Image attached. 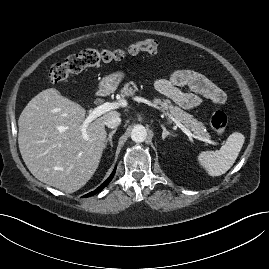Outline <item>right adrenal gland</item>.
<instances>
[{"label": "right adrenal gland", "mask_w": 269, "mask_h": 269, "mask_svg": "<svg viewBox=\"0 0 269 269\" xmlns=\"http://www.w3.org/2000/svg\"><path fill=\"white\" fill-rule=\"evenodd\" d=\"M117 129H114L113 131H111L108 135V138L106 139L105 141V148L107 146V144L109 143L110 144V147L112 148L113 147V143H112V137L113 135L116 133Z\"/></svg>", "instance_id": "1"}]
</instances>
